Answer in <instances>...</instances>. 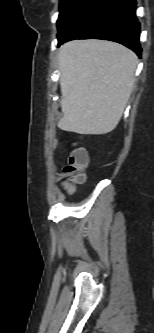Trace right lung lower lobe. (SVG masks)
Instances as JSON below:
<instances>
[{
	"instance_id": "obj_1",
	"label": "right lung lower lobe",
	"mask_w": 154,
	"mask_h": 333,
	"mask_svg": "<svg viewBox=\"0 0 154 333\" xmlns=\"http://www.w3.org/2000/svg\"><path fill=\"white\" fill-rule=\"evenodd\" d=\"M135 11V0H100L87 18L58 42V46L72 39H105L125 45L140 57V24Z\"/></svg>"
}]
</instances>
